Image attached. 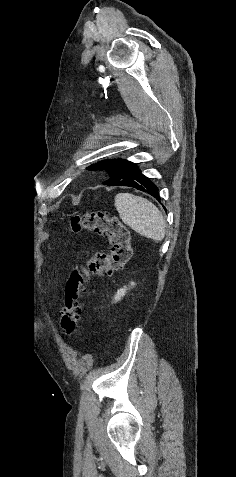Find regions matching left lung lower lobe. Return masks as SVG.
<instances>
[{"mask_svg": "<svg viewBox=\"0 0 236 477\" xmlns=\"http://www.w3.org/2000/svg\"><path fill=\"white\" fill-rule=\"evenodd\" d=\"M116 186H127V187L135 188L137 190L150 194L151 196L156 198L158 201H160V196H159L157 186L154 185L149 178L143 175L140 172V169L136 165L132 173L130 174V176L127 178V180Z\"/></svg>", "mask_w": 236, "mask_h": 477, "instance_id": "0a47b994", "label": "left lung lower lobe"}]
</instances>
